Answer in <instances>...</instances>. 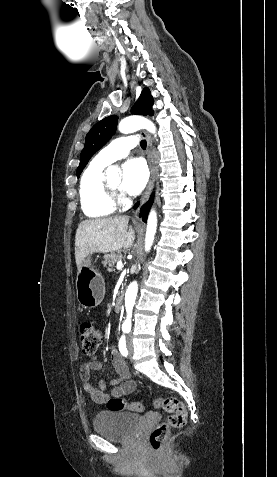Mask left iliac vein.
I'll use <instances>...</instances> for the list:
<instances>
[{
    "label": "left iliac vein",
    "mask_w": 277,
    "mask_h": 477,
    "mask_svg": "<svg viewBox=\"0 0 277 477\" xmlns=\"http://www.w3.org/2000/svg\"><path fill=\"white\" fill-rule=\"evenodd\" d=\"M127 347H128V350H129V353H130V356L133 354V346H132V342H131V338L128 337L127 339Z\"/></svg>",
    "instance_id": "obj_1"
}]
</instances>
